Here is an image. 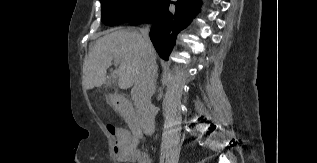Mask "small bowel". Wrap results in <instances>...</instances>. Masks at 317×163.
<instances>
[{
    "label": "small bowel",
    "mask_w": 317,
    "mask_h": 163,
    "mask_svg": "<svg viewBox=\"0 0 317 163\" xmlns=\"http://www.w3.org/2000/svg\"><path fill=\"white\" fill-rule=\"evenodd\" d=\"M121 142V161L124 163H151L148 155L141 153L133 143L132 137L121 131L117 142Z\"/></svg>",
    "instance_id": "1"
}]
</instances>
